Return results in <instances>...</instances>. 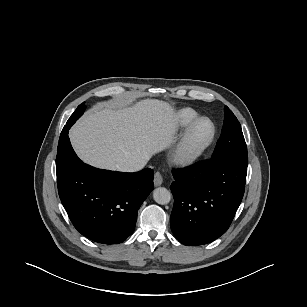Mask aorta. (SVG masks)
I'll return each instance as SVG.
<instances>
[{
  "mask_svg": "<svg viewBox=\"0 0 307 307\" xmlns=\"http://www.w3.org/2000/svg\"><path fill=\"white\" fill-rule=\"evenodd\" d=\"M153 199L156 203L165 205L171 201V193L165 187H158L153 191Z\"/></svg>",
  "mask_w": 307,
  "mask_h": 307,
  "instance_id": "obj_1",
  "label": "aorta"
}]
</instances>
